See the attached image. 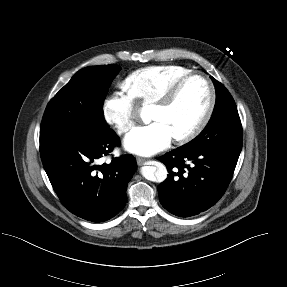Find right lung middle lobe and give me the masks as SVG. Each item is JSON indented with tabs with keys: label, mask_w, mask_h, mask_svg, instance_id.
Segmentation results:
<instances>
[{
	"label": "right lung middle lobe",
	"mask_w": 287,
	"mask_h": 287,
	"mask_svg": "<svg viewBox=\"0 0 287 287\" xmlns=\"http://www.w3.org/2000/svg\"><path fill=\"white\" fill-rule=\"evenodd\" d=\"M120 70L114 64L79 70L48 103L40 126V147L90 139L110 129L103 102Z\"/></svg>",
	"instance_id": "right-lung-middle-lobe-1"
}]
</instances>
